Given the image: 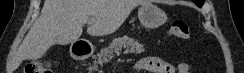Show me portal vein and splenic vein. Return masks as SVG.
Masks as SVG:
<instances>
[{
	"label": "portal vein and splenic vein",
	"instance_id": "portal-vein-and-splenic-vein-1",
	"mask_svg": "<svg viewBox=\"0 0 244 73\" xmlns=\"http://www.w3.org/2000/svg\"><path fill=\"white\" fill-rule=\"evenodd\" d=\"M95 22V19H88L86 20V23L88 24H93Z\"/></svg>",
	"mask_w": 244,
	"mask_h": 73
}]
</instances>
